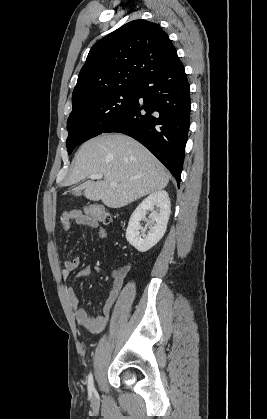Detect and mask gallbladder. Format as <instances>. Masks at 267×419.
<instances>
[{"mask_svg":"<svg viewBox=\"0 0 267 419\" xmlns=\"http://www.w3.org/2000/svg\"><path fill=\"white\" fill-rule=\"evenodd\" d=\"M73 191L75 195H78V196L81 195V189L79 187L77 189H74Z\"/></svg>","mask_w":267,"mask_h":419,"instance_id":"obj_1","label":"gallbladder"}]
</instances>
